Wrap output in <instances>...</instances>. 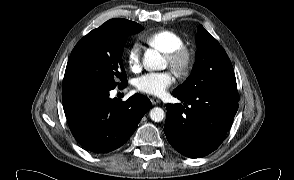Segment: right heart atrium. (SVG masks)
<instances>
[{"instance_id": "obj_1", "label": "right heart atrium", "mask_w": 294, "mask_h": 180, "mask_svg": "<svg viewBox=\"0 0 294 180\" xmlns=\"http://www.w3.org/2000/svg\"><path fill=\"white\" fill-rule=\"evenodd\" d=\"M125 58L129 69L137 72L141 69V46L138 43H133L125 52Z\"/></svg>"}]
</instances>
